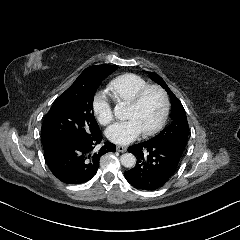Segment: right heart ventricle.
I'll use <instances>...</instances> for the list:
<instances>
[{"mask_svg": "<svg viewBox=\"0 0 240 240\" xmlns=\"http://www.w3.org/2000/svg\"><path fill=\"white\" fill-rule=\"evenodd\" d=\"M147 85L148 82L143 77L126 73L111 80L106 87V92L118 106H126L132 101L138 90Z\"/></svg>", "mask_w": 240, "mask_h": 240, "instance_id": "right-heart-ventricle-1", "label": "right heart ventricle"}]
</instances>
